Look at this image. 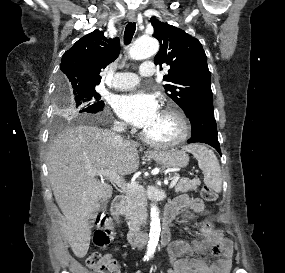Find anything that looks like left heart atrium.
Segmentation results:
<instances>
[{
    "label": "left heart atrium",
    "instance_id": "obj_1",
    "mask_svg": "<svg viewBox=\"0 0 285 273\" xmlns=\"http://www.w3.org/2000/svg\"><path fill=\"white\" fill-rule=\"evenodd\" d=\"M114 109L118 116L142 130L151 126L160 115L156 97L141 91L118 96Z\"/></svg>",
    "mask_w": 285,
    "mask_h": 273
}]
</instances>
